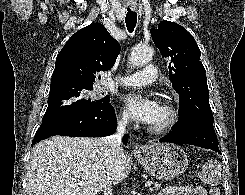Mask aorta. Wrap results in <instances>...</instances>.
Masks as SVG:
<instances>
[{
    "instance_id": "762f6f07",
    "label": "aorta",
    "mask_w": 245,
    "mask_h": 195,
    "mask_svg": "<svg viewBox=\"0 0 245 195\" xmlns=\"http://www.w3.org/2000/svg\"><path fill=\"white\" fill-rule=\"evenodd\" d=\"M154 51L149 46H136L133 48L129 63L133 67H141L148 64L153 58Z\"/></svg>"
}]
</instances>
